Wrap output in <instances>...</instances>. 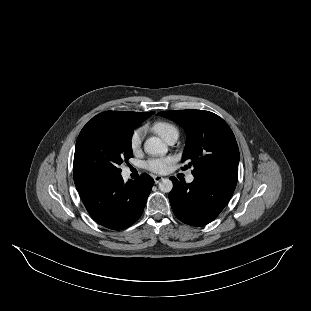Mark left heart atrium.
<instances>
[{
    "label": "left heart atrium",
    "mask_w": 311,
    "mask_h": 311,
    "mask_svg": "<svg viewBox=\"0 0 311 311\" xmlns=\"http://www.w3.org/2000/svg\"><path fill=\"white\" fill-rule=\"evenodd\" d=\"M173 161L172 157L150 159L144 163V169L155 174H166Z\"/></svg>",
    "instance_id": "obj_1"
}]
</instances>
